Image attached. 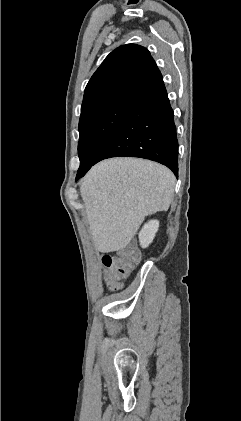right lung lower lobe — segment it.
<instances>
[{
  "instance_id": "right-lung-lower-lobe-1",
  "label": "right lung lower lobe",
  "mask_w": 241,
  "mask_h": 421,
  "mask_svg": "<svg viewBox=\"0 0 241 421\" xmlns=\"http://www.w3.org/2000/svg\"><path fill=\"white\" fill-rule=\"evenodd\" d=\"M120 156L153 160L166 165L175 175L178 174V140L174 112L162 76L132 99L119 128L94 164L106 158ZM90 168L78 169L76 180L84 176Z\"/></svg>"
}]
</instances>
